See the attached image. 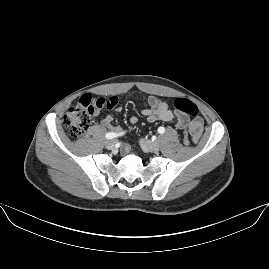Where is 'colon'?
Masks as SVG:
<instances>
[{
    "mask_svg": "<svg viewBox=\"0 0 269 269\" xmlns=\"http://www.w3.org/2000/svg\"><path fill=\"white\" fill-rule=\"evenodd\" d=\"M119 104L117 95H110L108 99L96 98L90 93L83 94L76 105L69 108L63 117V124L73 138L82 137L91 125V118L102 110H110ZM175 111L187 114L190 117L198 116L196 105L184 97L175 98L172 102ZM184 146H189V135L185 132L180 135Z\"/></svg>",
    "mask_w": 269,
    "mask_h": 269,
    "instance_id": "1",
    "label": "colon"
}]
</instances>
